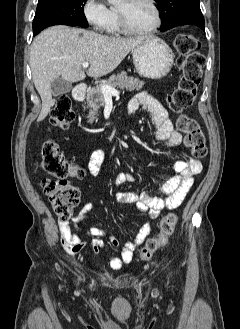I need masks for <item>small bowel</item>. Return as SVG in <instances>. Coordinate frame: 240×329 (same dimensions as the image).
<instances>
[{
    "label": "small bowel",
    "instance_id": "small-bowel-1",
    "mask_svg": "<svg viewBox=\"0 0 240 329\" xmlns=\"http://www.w3.org/2000/svg\"><path fill=\"white\" fill-rule=\"evenodd\" d=\"M143 109L152 117L154 126L153 137L155 140L164 142L169 148L176 149L181 141L182 134L175 130L171 120L168 118L165 108L149 93L139 92L129 102L127 113L132 114L138 109ZM105 152L95 150L88 163V169L92 176L98 177L102 173L103 163L105 161ZM174 169L178 175L168 180L160 189L159 195L150 192H131L121 191L116 194V200L121 204H131L136 209L147 214L150 220L158 218L164 210L175 209L181 205L190 187L193 179L202 171V163L199 159L185 157L174 164ZM135 177L129 172H121L115 177V184L122 185L125 183L135 182ZM93 209L92 203H86L81 211L74 218L73 223L68 221H59V233L63 247L66 251L76 254L81 252L86 246L90 245L95 255L99 254L100 249L106 247L103 237L108 236L109 242L114 247H120L119 255H111L109 265L113 270H120L124 265L131 262L134 251L143 243L151 231V223L145 222L137 231L134 238L120 243L118 239L100 227H90L88 232L93 237L90 242L83 241L79 234V225L86 224L88 215Z\"/></svg>",
    "mask_w": 240,
    "mask_h": 329
}]
</instances>
